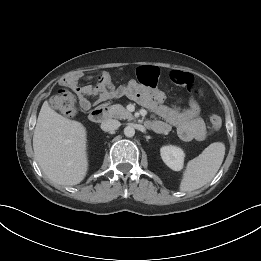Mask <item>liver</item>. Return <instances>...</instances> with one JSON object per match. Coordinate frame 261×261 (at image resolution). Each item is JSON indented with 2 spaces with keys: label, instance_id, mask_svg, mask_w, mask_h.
Here are the masks:
<instances>
[{
  "label": "liver",
  "instance_id": "6515ba94",
  "mask_svg": "<svg viewBox=\"0 0 261 261\" xmlns=\"http://www.w3.org/2000/svg\"><path fill=\"white\" fill-rule=\"evenodd\" d=\"M36 161L54 183L79 184L88 171L87 132L82 123L41 107L33 135Z\"/></svg>",
  "mask_w": 261,
  "mask_h": 261
}]
</instances>
